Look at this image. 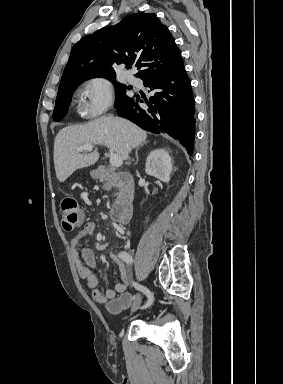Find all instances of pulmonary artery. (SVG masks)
Segmentation results:
<instances>
[{"label":"pulmonary artery","instance_id":"e3ab8cb5","mask_svg":"<svg viewBox=\"0 0 283 384\" xmlns=\"http://www.w3.org/2000/svg\"><path fill=\"white\" fill-rule=\"evenodd\" d=\"M126 81L130 84H134V85H137V86H142V83L140 80H138L133 74L131 73H128L126 75Z\"/></svg>","mask_w":283,"mask_h":384}]
</instances>
